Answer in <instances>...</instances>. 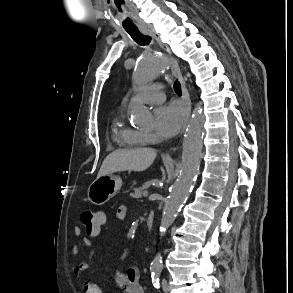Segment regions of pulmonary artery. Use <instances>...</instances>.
<instances>
[{"label":"pulmonary artery","instance_id":"obj_1","mask_svg":"<svg viewBox=\"0 0 293 293\" xmlns=\"http://www.w3.org/2000/svg\"><path fill=\"white\" fill-rule=\"evenodd\" d=\"M159 88L158 84L145 86L138 92V98L147 104L160 103L164 100L165 95Z\"/></svg>","mask_w":293,"mask_h":293}]
</instances>
